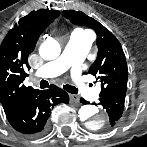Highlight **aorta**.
I'll use <instances>...</instances> for the list:
<instances>
[{
	"label": "aorta",
	"instance_id": "aorta-1",
	"mask_svg": "<svg viewBox=\"0 0 147 147\" xmlns=\"http://www.w3.org/2000/svg\"><path fill=\"white\" fill-rule=\"evenodd\" d=\"M61 52L58 41L53 38L46 39L40 46L39 54L44 60H54ZM78 117L91 131H101L107 128L108 115L96 106L83 105L78 112Z\"/></svg>",
	"mask_w": 147,
	"mask_h": 147
}]
</instances>
